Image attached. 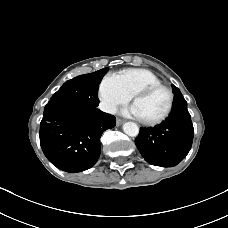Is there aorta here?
Here are the masks:
<instances>
[{"label": "aorta", "mask_w": 228, "mask_h": 228, "mask_svg": "<svg viewBox=\"0 0 228 228\" xmlns=\"http://www.w3.org/2000/svg\"><path fill=\"white\" fill-rule=\"evenodd\" d=\"M123 131L128 136L135 137L139 134V127L134 122H126L123 125Z\"/></svg>", "instance_id": "1"}]
</instances>
